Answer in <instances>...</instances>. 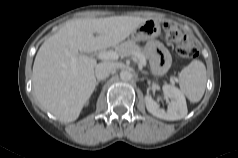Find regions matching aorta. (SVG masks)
I'll return each instance as SVG.
<instances>
[{
  "label": "aorta",
  "mask_w": 238,
  "mask_h": 158,
  "mask_svg": "<svg viewBox=\"0 0 238 158\" xmlns=\"http://www.w3.org/2000/svg\"><path fill=\"white\" fill-rule=\"evenodd\" d=\"M120 78H121V80H123V81H129V80L132 78V74H131V72L128 71V70H122V71L120 72Z\"/></svg>",
  "instance_id": "1"
}]
</instances>
